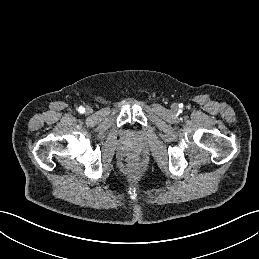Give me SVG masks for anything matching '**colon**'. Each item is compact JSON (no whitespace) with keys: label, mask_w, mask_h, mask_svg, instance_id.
<instances>
[{"label":"colon","mask_w":259,"mask_h":259,"mask_svg":"<svg viewBox=\"0 0 259 259\" xmlns=\"http://www.w3.org/2000/svg\"><path fill=\"white\" fill-rule=\"evenodd\" d=\"M128 166L131 171H136L139 166L138 160L136 158H131L129 160Z\"/></svg>","instance_id":"5ec220e1"}]
</instances>
